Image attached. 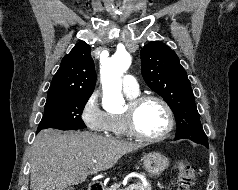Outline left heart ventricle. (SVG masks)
I'll use <instances>...</instances> for the list:
<instances>
[{"label": "left heart ventricle", "mask_w": 238, "mask_h": 190, "mask_svg": "<svg viewBox=\"0 0 238 190\" xmlns=\"http://www.w3.org/2000/svg\"><path fill=\"white\" fill-rule=\"evenodd\" d=\"M136 123L142 133L157 136L166 130L168 117L164 108L158 102L147 101L138 109Z\"/></svg>", "instance_id": "1"}]
</instances>
